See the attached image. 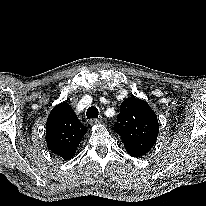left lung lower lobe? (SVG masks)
<instances>
[{
	"mask_svg": "<svg viewBox=\"0 0 206 206\" xmlns=\"http://www.w3.org/2000/svg\"><path fill=\"white\" fill-rule=\"evenodd\" d=\"M129 155H131V156H133V157H140V156H142L143 154L136 153V152H131V153H129Z\"/></svg>",
	"mask_w": 206,
	"mask_h": 206,
	"instance_id": "left-lung-lower-lobe-1",
	"label": "left lung lower lobe"
}]
</instances>
